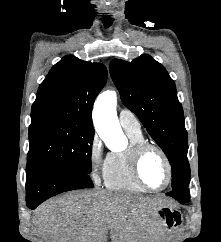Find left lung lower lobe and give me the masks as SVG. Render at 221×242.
<instances>
[{"mask_svg":"<svg viewBox=\"0 0 221 242\" xmlns=\"http://www.w3.org/2000/svg\"><path fill=\"white\" fill-rule=\"evenodd\" d=\"M167 195L173 197L174 199L179 201L181 204L187 203L190 200V194H189L188 187L173 190V191L167 193Z\"/></svg>","mask_w":221,"mask_h":242,"instance_id":"0a47b994","label":"left lung lower lobe"}]
</instances>
